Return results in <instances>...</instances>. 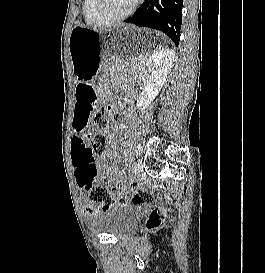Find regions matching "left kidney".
I'll use <instances>...</instances> for the list:
<instances>
[{
	"instance_id": "left-kidney-1",
	"label": "left kidney",
	"mask_w": 265,
	"mask_h": 273,
	"mask_svg": "<svg viewBox=\"0 0 265 273\" xmlns=\"http://www.w3.org/2000/svg\"><path fill=\"white\" fill-rule=\"evenodd\" d=\"M175 59V52L171 49L155 51L146 61V67L150 72L146 85L137 99L136 106L145 110L156 98L166 81V77Z\"/></svg>"
}]
</instances>
